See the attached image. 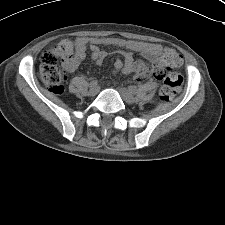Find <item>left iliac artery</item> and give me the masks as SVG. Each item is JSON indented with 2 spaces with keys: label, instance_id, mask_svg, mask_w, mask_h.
<instances>
[{
  "label": "left iliac artery",
  "instance_id": "44dca946",
  "mask_svg": "<svg viewBox=\"0 0 225 225\" xmlns=\"http://www.w3.org/2000/svg\"><path fill=\"white\" fill-rule=\"evenodd\" d=\"M130 91H131V93L135 94L136 93V87L130 86Z\"/></svg>",
  "mask_w": 225,
  "mask_h": 225
}]
</instances>
